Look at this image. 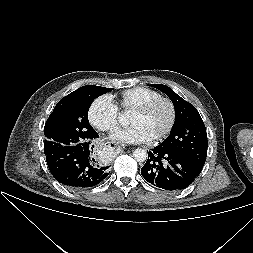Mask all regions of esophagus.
Segmentation results:
<instances>
[{
    "mask_svg": "<svg viewBox=\"0 0 253 253\" xmlns=\"http://www.w3.org/2000/svg\"><path fill=\"white\" fill-rule=\"evenodd\" d=\"M108 146L113 149H119V145L116 142H108Z\"/></svg>",
    "mask_w": 253,
    "mask_h": 253,
    "instance_id": "esophagus-1",
    "label": "esophagus"
}]
</instances>
